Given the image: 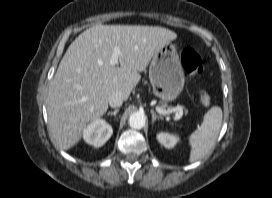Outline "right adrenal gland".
I'll list each match as a JSON object with an SVG mask.
<instances>
[{"instance_id": "1", "label": "right adrenal gland", "mask_w": 272, "mask_h": 198, "mask_svg": "<svg viewBox=\"0 0 272 198\" xmlns=\"http://www.w3.org/2000/svg\"><path fill=\"white\" fill-rule=\"evenodd\" d=\"M118 111H119V108H116L114 111H109V112L107 113V116L113 115L114 117H116Z\"/></svg>"}]
</instances>
